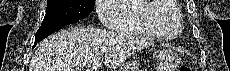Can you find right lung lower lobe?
<instances>
[{"label":"right lung lower lobe","mask_w":230,"mask_h":71,"mask_svg":"<svg viewBox=\"0 0 230 71\" xmlns=\"http://www.w3.org/2000/svg\"><path fill=\"white\" fill-rule=\"evenodd\" d=\"M78 21L79 20L66 21V22L56 23V24H52V25H41V27L38 29V31L35 34V43L40 42L42 39L46 38L51 33L63 28L64 26H66L68 24L76 23ZM35 45L36 44H34V46Z\"/></svg>","instance_id":"1"}]
</instances>
